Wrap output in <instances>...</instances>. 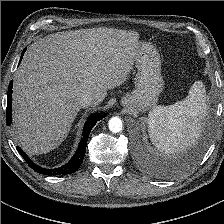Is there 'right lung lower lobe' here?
<instances>
[{
    "instance_id": "1",
    "label": "right lung lower lobe",
    "mask_w": 224,
    "mask_h": 224,
    "mask_svg": "<svg viewBox=\"0 0 224 224\" xmlns=\"http://www.w3.org/2000/svg\"><path fill=\"white\" fill-rule=\"evenodd\" d=\"M25 51H26V48L23 50V52L21 54L19 63L21 62ZM12 87H13V83L11 81L9 84L8 93H7L6 123L8 126H10L12 123V118H11ZM105 116H106L105 113H97V114H93L87 118V121H86V123L84 125V129H83V138L78 146V149L76 150L74 156L70 159V161L59 168H55V169L42 168V167L36 165L32 160H30L29 157L27 156V154L25 152H23L20 147L17 146V150L21 154V156L24 158V160L27 162V164L33 170H35L36 172H38L40 174L66 175V174L74 173L79 169L80 165L83 162L84 155L86 152V147H87V141H88V137H89L91 129L94 127V125L97 123V121L101 120Z\"/></svg>"
}]
</instances>
